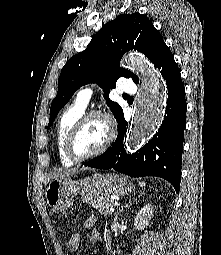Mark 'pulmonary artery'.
Segmentation results:
<instances>
[{"mask_svg":"<svg viewBox=\"0 0 221 255\" xmlns=\"http://www.w3.org/2000/svg\"><path fill=\"white\" fill-rule=\"evenodd\" d=\"M119 92L134 95L137 92V86L132 80L123 78L119 81ZM92 94L93 88L90 86L80 89L76 94L75 104L86 107L91 100Z\"/></svg>","mask_w":221,"mask_h":255,"instance_id":"pulmonary-artery-1","label":"pulmonary artery"}]
</instances>
